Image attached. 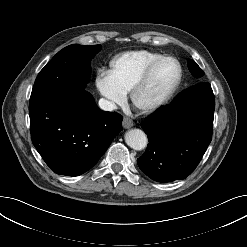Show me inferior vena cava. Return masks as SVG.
<instances>
[{
  "mask_svg": "<svg viewBox=\"0 0 247 247\" xmlns=\"http://www.w3.org/2000/svg\"><path fill=\"white\" fill-rule=\"evenodd\" d=\"M99 107L104 111H113L116 109V105L114 102L108 101L106 99L99 100Z\"/></svg>",
  "mask_w": 247,
  "mask_h": 247,
  "instance_id": "1",
  "label": "inferior vena cava"
}]
</instances>
